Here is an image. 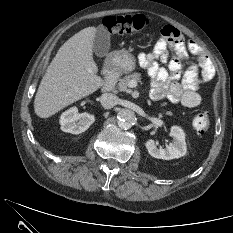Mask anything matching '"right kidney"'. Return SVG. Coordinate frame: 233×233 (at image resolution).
<instances>
[{
    "label": "right kidney",
    "instance_id": "ca27d5eb",
    "mask_svg": "<svg viewBox=\"0 0 233 233\" xmlns=\"http://www.w3.org/2000/svg\"><path fill=\"white\" fill-rule=\"evenodd\" d=\"M94 121V116L89 113L79 114L77 107L66 110L60 117L61 130L72 134L86 131Z\"/></svg>",
    "mask_w": 233,
    "mask_h": 233
}]
</instances>
